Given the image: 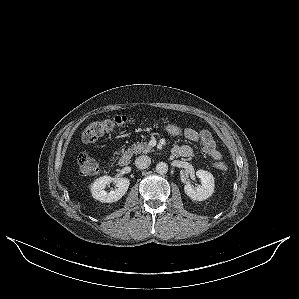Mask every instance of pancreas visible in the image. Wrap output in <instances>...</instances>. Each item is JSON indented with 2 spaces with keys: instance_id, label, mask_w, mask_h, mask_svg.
I'll return each instance as SVG.
<instances>
[{
  "instance_id": "obj_1",
  "label": "pancreas",
  "mask_w": 299,
  "mask_h": 299,
  "mask_svg": "<svg viewBox=\"0 0 299 299\" xmlns=\"http://www.w3.org/2000/svg\"><path fill=\"white\" fill-rule=\"evenodd\" d=\"M152 147L149 146L147 142H137L133 144L130 148H128L127 153L128 154H141V153H149L152 152Z\"/></svg>"
}]
</instances>
